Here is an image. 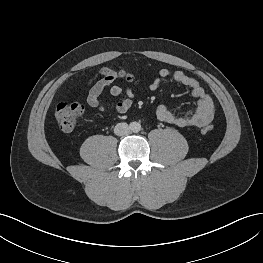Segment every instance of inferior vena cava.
<instances>
[{
	"label": "inferior vena cava",
	"mask_w": 263,
	"mask_h": 263,
	"mask_svg": "<svg viewBox=\"0 0 263 263\" xmlns=\"http://www.w3.org/2000/svg\"><path fill=\"white\" fill-rule=\"evenodd\" d=\"M130 132V127L127 123H118L114 128V133L118 136H124Z\"/></svg>",
	"instance_id": "inferior-vena-cava-1"
}]
</instances>
